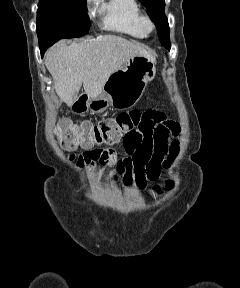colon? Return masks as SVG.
Masks as SVG:
<instances>
[{
	"label": "colon",
	"instance_id": "5ec220e1",
	"mask_svg": "<svg viewBox=\"0 0 240 288\" xmlns=\"http://www.w3.org/2000/svg\"><path fill=\"white\" fill-rule=\"evenodd\" d=\"M142 121L139 110H130L98 123L83 122L74 124L70 120H61L55 134L61 147L74 150L77 147L93 146L100 143H113L138 129ZM170 186V183L167 184Z\"/></svg>",
	"mask_w": 240,
	"mask_h": 288
}]
</instances>
